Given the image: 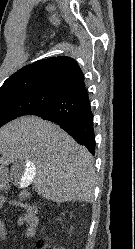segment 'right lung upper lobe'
Returning <instances> with one entry per match:
<instances>
[{"instance_id": "cb5924a9", "label": "right lung upper lobe", "mask_w": 135, "mask_h": 249, "mask_svg": "<svg viewBox=\"0 0 135 249\" xmlns=\"http://www.w3.org/2000/svg\"><path fill=\"white\" fill-rule=\"evenodd\" d=\"M85 86L84 75L71 57L57 56L26 65L11 75L0 87V95L32 91L62 93Z\"/></svg>"}]
</instances>
